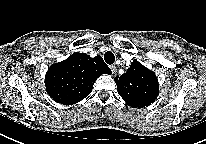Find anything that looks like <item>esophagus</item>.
I'll use <instances>...</instances> for the list:
<instances>
[{"mask_svg": "<svg viewBox=\"0 0 206 144\" xmlns=\"http://www.w3.org/2000/svg\"><path fill=\"white\" fill-rule=\"evenodd\" d=\"M110 69H111L112 73H115V71H116V66H115V65H110Z\"/></svg>", "mask_w": 206, "mask_h": 144, "instance_id": "1", "label": "esophagus"}]
</instances>
